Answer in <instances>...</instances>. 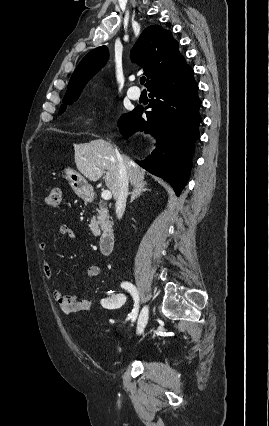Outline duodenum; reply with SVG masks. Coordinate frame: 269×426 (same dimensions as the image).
I'll return each mask as SVG.
<instances>
[{
    "label": "duodenum",
    "instance_id": "1",
    "mask_svg": "<svg viewBox=\"0 0 269 426\" xmlns=\"http://www.w3.org/2000/svg\"><path fill=\"white\" fill-rule=\"evenodd\" d=\"M93 200V197L89 198ZM115 233L112 229L102 231L99 239L100 251L103 255H110L114 248Z\"/></svg>",
    "mask_w": 269,
    "mask_h": 426
}]
</instances>
